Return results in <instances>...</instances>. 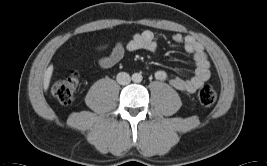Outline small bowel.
Returning a JSON list of instances; mask_svg holds the SVG:
<instances>
[{
  "label": "small bowel",
  "mask_w": 267,
  "mask_h": 166,
  "mask_svg": "<svg viewBox=\"0 0 267 166\" xmlns=\"http://www.w3.org/2000/svg\"><path fill=\"white\" fill-rule=\"evenodd\" d=\"M173 41L184 46L186 52L192 55L195 66L194 74L189 78L175 76L169 80L174 88L194 93L210 77V64L207 60L202 45L191 36H184L180 33L173 35ZM107 45H98L95 50L102 52L106 50ZM146 50L155 53L158 50L154 34L150 30H144L136 33L130 40L125 43H117L113 46L109 54L98 57L97 64L101 68H110L120 62L126 51L134 52ZM158 80H167L168 73L165 70H158L155 73Z\"/></svg>",
  "instance_id": "1"
}]
</instances>
